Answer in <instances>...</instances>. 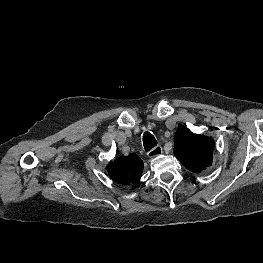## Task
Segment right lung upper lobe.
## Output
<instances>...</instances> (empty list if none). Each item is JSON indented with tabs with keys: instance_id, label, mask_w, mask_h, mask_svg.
I'll use <instances>...</instances> for the list:
<instances>
[{
	"instance_id": "1",
	"label": "right lung upper lobe",
	"mask_w": 263,
	"mask_h": 263,
	"mask_svg": "<svg viewBox=\"0 0 263 263\" xmlns=\"http://www.w3.org/2000/svg\"><path fill=\"white\" fill-rule=\"evenodd\" d=\"M106 170L114 182L129 185L140 180L143 172V162L134 154L120 156L114 162L111 161Z\"/></svg>"
}]
</instances>
